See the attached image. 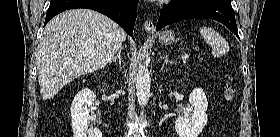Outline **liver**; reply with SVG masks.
Here are the masks:
<instances>
[{"instance_id":"liver-1","label":"liver","mask_w":280,"mask_h":137,"mask_svg":"<svg viewBox=\"0 0 280 137\" xmlns=\"http://www.w3.org/2000/svg\"><path fill=\"white\" fill-rule=\"evenodd\" d=\"M125 39L119 25L91 9H71L54 17L38 46L42 99H51L72 80L105 67Z\"/></svg>"}]
</instances>
